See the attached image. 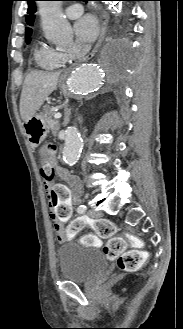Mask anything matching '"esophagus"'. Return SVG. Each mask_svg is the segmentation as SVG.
Returning a JSON list of instances; mask_svg holds the SVG:
<instances>
[{"label":"esophagus","mask_w":183,"mask_h":329,"mask_svg":"<svg viewBox=\"0 0 183 329\" xmlns=\"http://www.w3.org/2000/svg\"><path fill=\"white\" fill-rule=\"evenodd\" d=\"M92 6H93V9H94L97 13H99V15H100V21H101L100 34H99V38H98V40H97V42H96V44H95L93 50H92L88 55H86V56L83 58L84 61L91 59V58L95 55V53L97 52V50H98L99 47L101 46V44H102V42H103V40H104V38H105L106 32H107L108 19H107L106 16L101 12V8L99 7V5H98L97 3L93 2ZM68 71H69V70H68ZM68 71H66V72L63 74V76H62L61 79H64V78H65L66 73H67Z\"/></svg>","instance_id":"obj_1"}]
</instances>
